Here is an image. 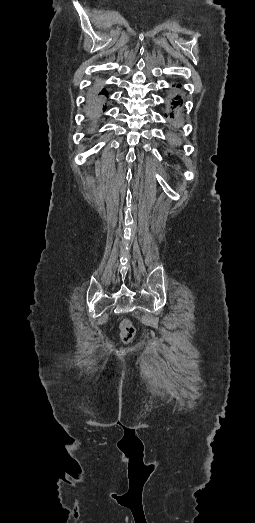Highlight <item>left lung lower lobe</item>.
<instances>
[{"label":"left lung lower lobe","instance_id":"1","mask_svg":"<svg viewBox=\"0 0 255 523\" xmlns=\"http://www.w3.org/2000/svg\"><path fill=\"white\" fill-rule=\"evenodd\" d=\"M174 85L180 86V81H175ZM166 86H171V81H166ZM176 92H182V89H176ZM166 103H177L178 106L185 107L188 104V99L185 96H180L177 100H166ZM170 107H176V104H170ZM169 116H176V113H169ZM168 144H173V141H168ZM170 157H172V154H167V156H164V161H170Z\"/></svg>","mask_w":255,"mask_h":523}]
</instances>
